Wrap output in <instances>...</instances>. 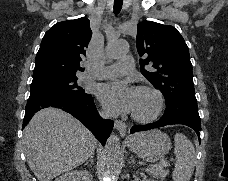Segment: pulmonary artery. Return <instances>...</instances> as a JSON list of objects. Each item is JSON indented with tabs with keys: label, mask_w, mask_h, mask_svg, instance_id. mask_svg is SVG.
Here are the masks:
<instances>
[{
	"label": "pulmonary artery",
	"mask_w": 228,
	"mask_h": 181,
	"mask_svg": "<svg viewBox=\"0 0 228 181\" xmlns=\"http://www.w3.org/2000/svg\"><path fill=\"white\" fill-rule=\"evenodd\" d=\"M121 62H123L122 65H112V67L105 68L103 70V74L105 75V77L111 76L113 73L117 72L118 70L135 71L136 68L134 66L135 65L134 62H132V57L121 58Z\"/></svg>",
	"instance_id": "1"
}]
</instances>
